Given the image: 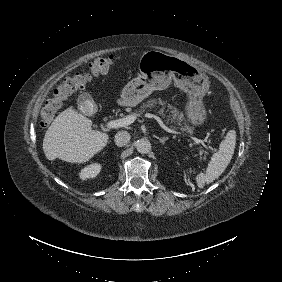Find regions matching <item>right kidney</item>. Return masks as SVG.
Here are the masks:
<instances>
[{
    "label": "right kidney",
    "mask_w": 282,
    "mask_h": 282,
    "mask_svg": "<svg viewBox=\"0 0 282 282\" xmlns=\"http://www.w3.org/2000/svg\"><path fill=\"white\" fill-rule=\"evenodd\" d=\"M103 165L99 162H91L83 166L78 172V178L82 181L95 178L102 171Z\"/></svg>",
    "instance_id": "ca27d5eb"
}]
</instances>
